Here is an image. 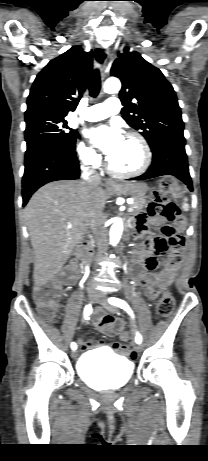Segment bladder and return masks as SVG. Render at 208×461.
I'll use <instances>...</instances> for the list:
<instances>
[{
  "label": "bladder",
  "instance_id": "obj_1",
  "mask_svg": "<svg viewBox=\"0 0 208 461\" xmlns=\"http://www.w3.org/2000/svg\"><path fill=\"white\" fill-rule=\"evenodd\" d=\"M132 372V361L109 351L84 354L77 362L79 377L95 390L120 389L128 384Z\"/></svg>",
  "mask_w": 208,
  "mask_h": 461
}]
</instances>
